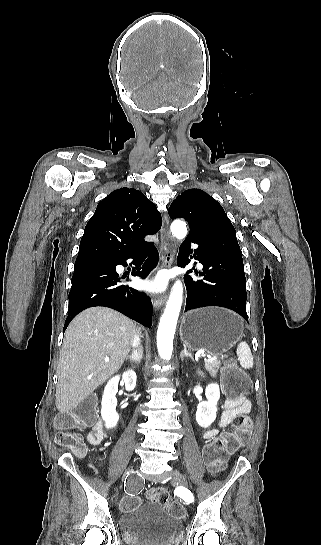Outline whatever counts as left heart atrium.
<instances>
[{"label":"left heart atrium","instance_id":"39dd6f15","mask_svg":"<svg viewBox=\"0 0 321 545\" xmlns=\"http://www.w3.org/2000/svg\"><path fill=\"white\" fill-rule=\"evenodd\" d=\"M166 286V278L158 277L152 281L144 283V288L150 291H162Z\"/></svg>","mask_w":321,"mask_h":545}]
</instances>
